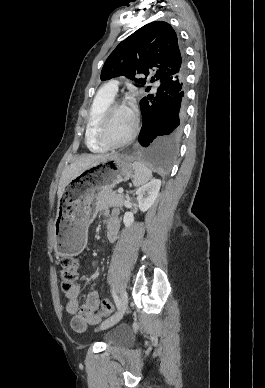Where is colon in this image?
I'll list each match as a JSON object with an SVG mask.
<instances>
[{"mask_svg": "<svg viewBox=\"0 0 265 388\" xmlns=\"http://www.w3.org/2000/svg\"><path fill=\"white\" fill-rule=\"evenodd\" d=\"M79 261L75 257H66L62 260V269L60 274L61 288L67 292L73 288L78 278ZM112 311V305L108 300H103L101 308L98 311L99 316H107Z\"/></svg>", "mask_w": 265, "mask_h": 388, "instance_id": "1", "label": "colon"}]
</instances>
